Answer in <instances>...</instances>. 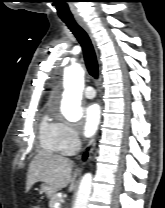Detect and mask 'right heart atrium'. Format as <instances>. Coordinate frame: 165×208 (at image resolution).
<instances>
[{
  "label": "right heart atrium",
  "mask_w": 165,
  "mask_h": 208,
  "mask_svg": "<svg viewBox=\"0 0 165 208\" xmlns=\"http://www.w3.org/2000/svg\"><path fill=\"white\" fill-rule=\"evenodd\" d=\"M56 125L61 153L72 155L81 145L78 129L64 120L57 122Z\"/></svg>",
  "instance_id": "obj_1"
}]
</instances>
